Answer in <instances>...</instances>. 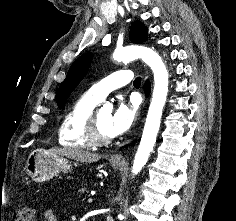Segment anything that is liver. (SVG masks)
Masks as SVG:
<instances>
[{"label":"liver","instance_id":"obj_1","mask_svg":"<svg viewBox=\"0 0 236 221\" xmlns=\"http://www.w3.org/2000/svg\"><path fill=\"white\" fill-rule=\"evenodd\" d=\"M48 152L61 156H66L80 162H97L101 156L99 154L91 153L85 150L73 148H52Z\"/></svg>","mask_w":236,"mask_h":221}]
</instances>
